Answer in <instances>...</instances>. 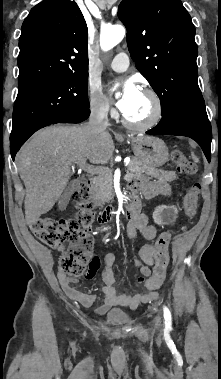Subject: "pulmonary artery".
<instances>
[{
    "instance_id": "1",
    "label": "pulmonary artery",
    "mask_w": 221,
    "mask_h": 379,
    "mask_svg": "<svg viewBox=\"0 0 221 379\" xmlns=\"http://www.w3.org/2000/svg\"><path fill=\"white\" fill-rule=\"evenodd\" d=\"M129 57L126 53H118L110 63V68L116 72H123L128 69Z\"/></svg>"
}]
</instances>
